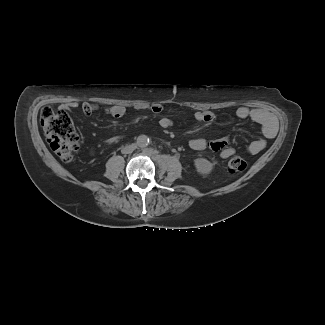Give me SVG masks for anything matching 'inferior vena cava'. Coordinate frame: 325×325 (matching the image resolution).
Returning <instances> with one entry per match:
<instances>
[{"mask_svg":"<svg viewBox=\"0 0 325 325\" xmlns=\"http://www.w3.org/2000/svg\"><path fill=\"white\" fill-rule=\"evenodd\" d=\"M135 149H136V145H135V144H131V145H127V146H125V147L121 150V152H122L123 154H130V153H132Z\"/></svg>","mask_w":325,"mask_h":325,"instance_id":"obj_1","label":"inferior vena cava"}]
</instances>
